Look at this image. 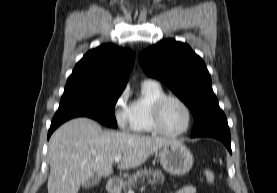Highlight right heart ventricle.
Segmentation results:
<instances>
[{
  "mask_svg": "<svg viewBox=\"0 0 277 193\" xmlns=\"http://www.w3.org/2000/svg\"><path fill=\"white\" fill-rule=\"evenodd\" d=\"M163 95L165 92L158 83L142 84L139 97L129 105L132 131L142 134L155 133L151 110L154 102Z\"/></svg>",
  "mask_w": 277,
  "mask_h": 193,
  "instance_id": "obj_1",
  "label": "right heart ventricle"
}]
</instances>
